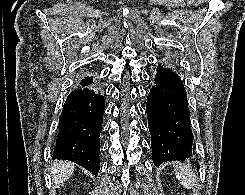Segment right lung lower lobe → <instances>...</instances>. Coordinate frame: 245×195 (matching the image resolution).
<instances>
[{"label":"right lung lower lobe","mask_w":245,"mask_h":195,"mask_svg":"<svg viewBox=\"0 0 245 195\" xmlns=\"http://www.w3.org/2000/svg\"><path fill=\"white\" fill-rule=\"evenodd\" d=\"M104 110L98 84L93 77L82 79L68 95L59 118L53 159L73 161L97 175Z\"/></svg>","instance_id":"98d812e1"}]
</instances>
